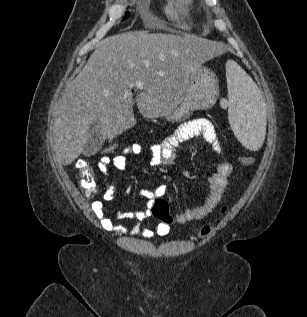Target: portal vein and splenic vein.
Instances as JSON below:
<instances>
[{
	"label": "portal vein and splenic vein",
	"mask_w": 307,
	"mask_h": 317,
	"mask_svg": "<svg viewBox=\"0 0 307 317\" xmlns=\"http://www.w3.org/2000/svg\"><path fill=\"white\" fill-rule=\"evenodd\" d=\"M131 87H137L138 89H143L144 84L141 80L135 82V84L131 85Z\"/></svg>",
	"instance_id": "1"
}]
</instances>
